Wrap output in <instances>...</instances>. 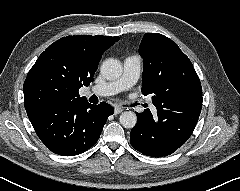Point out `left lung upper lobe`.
I'll return each mask as SVG.
<instances>
[{
    "mask_svg": "<svg viewBox=\"0 0 240 191\" xmlns=\"http://www.w3.org/2000/svg\"><path fill=\"white\" fill-rule=\"evenodd\" d=\"M144 59L143 94H152L157 110H172L182 100L202 105V88L191 61L171 39L146 33L139 47Z\"/></svg>",
    "mask_w": 240,
    "mask_h": 191,
    "instance_id": "obj_1",
    "label": "left lung upper lobe"
}]
</instances>
